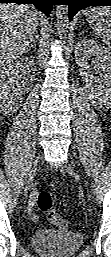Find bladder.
Returning <instances> with one entry per match:
<instances>
[{
  "instance_id": "1",
  "label": "bladder",
  "mask_w": 111,
  "mask_h": 257,
  "mask_svg": "<svg viewBox=\"0 0 111 257\" xmlns=\"http://www.w3.org/2000/svg\"><path fill=\"white\" fill-rule=\"evenodd\" d=\"M83 240L82 234L73 231H39L31 244L43 257H69L81 248Z\"/></svg>"
}]
</instances>
